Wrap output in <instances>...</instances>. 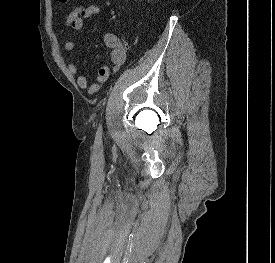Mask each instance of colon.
<instances>
[{
  "label": "colon",
  "mask_w": 275,
  "mask_h": 263,
  "mask_svg": "<svg viewBox=\"0 0 275 263\" xmlns=\"http://www.w3.org/2000/svg\"><path fill=\"white\" fill-rule=\"evenodd\" d=\"M60 3H66L68 0H58Z\"/></svg>",
  "instance_id": "obj_1"
}]
</instances>
